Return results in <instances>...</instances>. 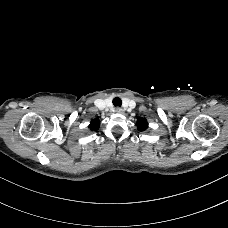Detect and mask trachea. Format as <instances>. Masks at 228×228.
Segmentation results:
<instances>
[{"label":"trachea","mask_w":228,"mask_h":228,"mask_svg":"<svg viewBox=\"0 0 228 228\" xmlns=\"http://www.w3.org/2000/svg\"><path fill=\"white\" fill-rule=\"evenodd\" d=\"M113 105L114 106H121L122 105V101L120 98L116 97L113 99Z\"/></svg>","instance_id":"3493384b"}]
</instances>
